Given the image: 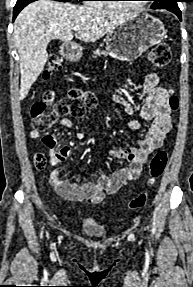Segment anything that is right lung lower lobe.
<instances>
[{
    "instance_id": "right-lung-lower-lobe-1",
    "label": "right lung lower lobe",
    "mask_w": 193,
    "mask_h": 287,
    "mask_svg": "<svg viewBox=\"0 0 193 287\" xmlns=\"http://www.w3.org/2000/svg\"><path fill=\"white\" fill-rule=\"evenodd\" d=\"M36 0H17V3L14 7L13 10V21L15 20L16 16L19 14V12L28 4H30L31 2H34ZM56 1H61V2H69L66 0H56Z\"/></svg>"
}]
</instances>
